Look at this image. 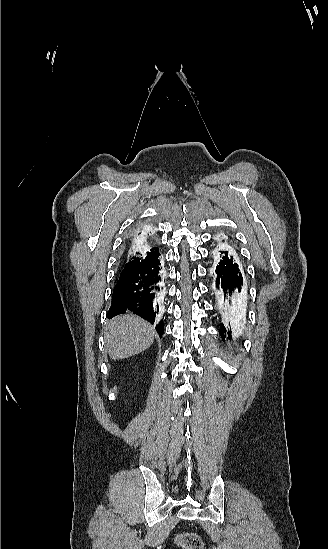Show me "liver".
<instances>
[{
    "label": "liver",
    "mask_w": 328,
    "mask_h": 549,
    "mask_svg": "<svg viewBox=\"0 0 328 549\" xmlns=\"http://www.w3.org/2000/svg\"><path fill=\"white\" fill-rule=\"evenodd\" d=\"M105 343L110 359H127L146 351L154 341V331L137 315H119L105 327Z\"/></svg>",
    "instance_id": "6515ba94"
}]
</instances>
